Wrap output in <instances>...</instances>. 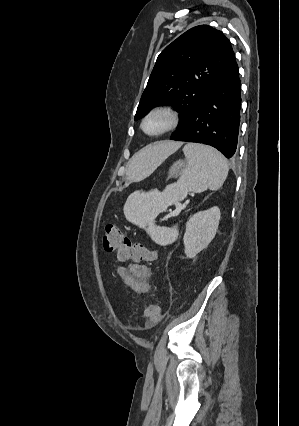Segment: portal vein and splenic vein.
I'll list each match as a JSON object with an SVG mask.
<instances>
[{
    "label": "portal vein and splenic vein",
    "instance_id": "obj_1",
    "mask_svg": "<svg viewBox=\"0 0 299 426\" xmlns=\"http://www.w3.org/2000/svg\"><path fill=\"white\" fill-rule=\"evenodd\" d=\"M176 207H177V208H181V207H182V205H181L180 203H176Z\"/></svg>",
    "mask_w": 299,
    "mask_h": 426
}]
</instances>
